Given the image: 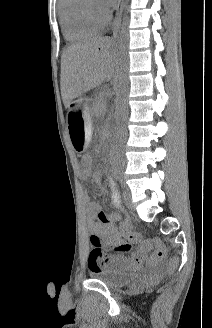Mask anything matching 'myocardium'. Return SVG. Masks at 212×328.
Segmentation results:
<instances>
[{"label": "myocardium", "instance_id": "f54148a6", "mask_svg": "<svg viewBox=\"0 0 212 328\" xmlns=\"http://www.w3.org/2000/svg\"><path fill=\"white\" fill-rule=\"evenodd\" d=\"M93 12L101 20H103L105 22L108 21L109 14L106 11H104L103 9H101L98 5L93 6Z\"/></svg>", "mask_w": 212, "mask_h": 328}]
</instances>
